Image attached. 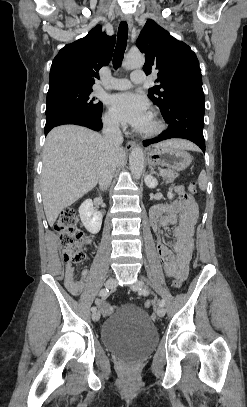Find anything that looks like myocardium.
Instances as JSON below:
<instances>
[{
  "instance_id": "1",
  "label": "myocardium",
  "mask_w": 247,
  "mask_h": 407,
  "mask_svg": "<svg viewBox=\"0 0 247 407\" xmlns=\"http://www.w3.org/2000/svg\"><path fill=\"white\" fill-rule=\"evenodd\" d=\"M150 117L153 121V127L148 130H138V133L146 138H152L163 132L165 129L164 121L158 116L156 112H151Z\"/></svg>"
}]
</instances>
